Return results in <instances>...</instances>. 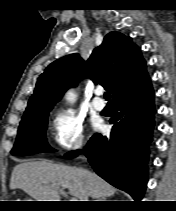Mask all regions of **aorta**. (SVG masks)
Returning a JSON list of instances; mask_svg holds the SVG:
<instances>
[{"mask_svg":"<svg viewBox=\"0 0 176 211\" xmlns=\"http://www.w3.org/2000/svg\"><path fill=\"white\" fill-rule=\"evenodd\" d=\"M76 99V94L73 91H70L66 94V100L69 102H74Z\"/></svg>","mask_w":176,"mask_h":211,"instance_id":"762f6f07","label":"aorta"}]
</instances>
